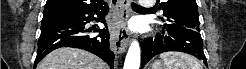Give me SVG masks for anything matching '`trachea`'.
Returning <instances> with one entry per match:
<instances>
[{"label": "trachea", "mask_w": 246, "mask_h": 69, "mask_svg": "<svg viewBox=\"0 0 246 69\" xmlns=\"http://www.w3.org/2000/svg\"><path fill=\"white\" fill-rule=\"evenodd\" d=\"M132 6L134 8H138V9H142V10H151V8H144V7H142L140 5H137V4L133 3V2H132Z\"/></svg>", "instance_id": "trachea-1"}]
</instances>
